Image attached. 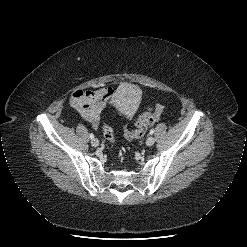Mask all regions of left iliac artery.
<instances>
[{
	"instance_id": "44dca946",
	"label": "left iliac artery",
	"mask_w": 247,
	"mask_h": 247,
	"mask_svg": "<svg viewBox=\"0 0 247 247\" xmlns=\"http://www.w3.org/2000/svg\"><path fill=\"white\" fill-rule=\"evenodd\" d=\"M154 131L155 130L152 128L149 133L152 135L154 133Z\"/></svg>"
}]
</instances>
